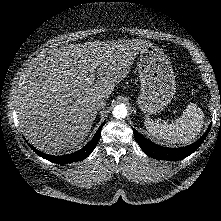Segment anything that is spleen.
I'll use <instances>...</instances> for the list:
<instances>
[{
	"label": "spleen",
	"mask_w": 221,
	"mask_h": 221,
	"mask_svg": "<svg viewBox=\"0 0 221 221\" xmlns=\"http://www.w3.org/2000/svg\"><path fill=\"white\" fill-rule=\"evenodd\" d=\"M204 113L196 104L190 103L182 116L171 124L155 123L145 118L147 131L156 139L168 144H188L195 140L202 130Z\"/></svg>",
	"instance_id": "obj_1"
}]
</instances>
